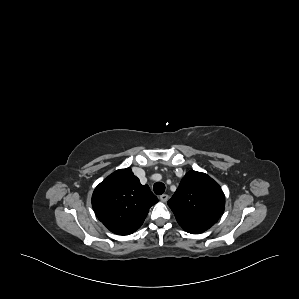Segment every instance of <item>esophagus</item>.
Segmentation results:
<instances>
[{"label": "esophagus", "mask_w": 299, "mask_h": 299, "mask_svg": "<svg viewBox=\"0 0 299 299\" xmlns=\"http://www.w3.org/2000/svg\"><path fill=\"white\" fill-rule=\"evenodd\" d=\"M169 196L167 194H162L159 199L162 201V202H167Z\"/></svg>", "instance_id": "obj_1"}]
</instances>
